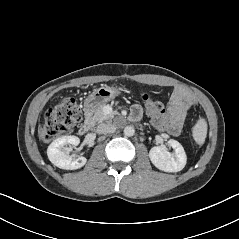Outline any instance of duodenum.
I'll return each instance as SVG.
<instances>
[{
  "instance_id": "duodenum-1",
  "label": "duodenum",
  "mask_w": 239,
  "mask_h": 239,
  "mask_svg": "<svg viewBox=\"0 0 239 239\" xmlns=\"http://www.w3.org/2000/svg\"><path fill=\"white\" fill-rule=\"evenodd\" d=\"M91 128H92V121L90 120V117L87 115L85 121L79 127L78 133L80 135H85L91 130Z\"/></svg>"
}]
</instances>
